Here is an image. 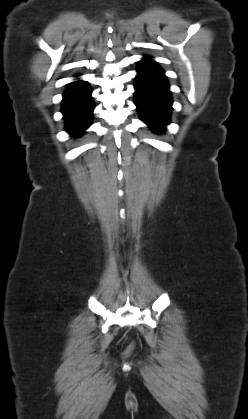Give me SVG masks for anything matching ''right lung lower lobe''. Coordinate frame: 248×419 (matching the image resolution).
<instances>
[{
	"label": "right lung lower lobe",
	"mask_w": 248,
	"mask_h": 419,
	"mask_svg": "<svg viewBox=\"0 0 248 419\" xmlns=\"http://www.w3.org/2000/svg\"><path fill=\"white\" fill-rule=\"evenodd\" d=\"M94 104L91 89L84 81H75L67 86L63 94L62 113L66 130L73 136L81 134L91 125Z\"/></svg>",
	"instance_id": "right-lung-lower-lobe-1"
}]
</instances>
